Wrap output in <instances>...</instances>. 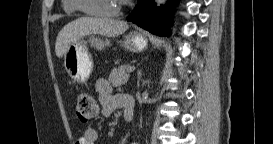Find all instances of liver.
Here are the masks:
<instances>
[{"label": "liver", "mask_w": 273, "mask_h": 144, "mask_svg": "<svg viewBox=\"0 0 273 144\" xmlns=\"http://www.w3.org/2000/svg\"><path fill=\"white\" fill-rule=\"evenodd\" d=\"M128 24L121 20L81 17L66 24L58 33L55 43L57 57H62L69 46L80 38L90 34L115 37L124 33Z\"/></svg>", "instance_id": "liver-1"}]
</instances>
